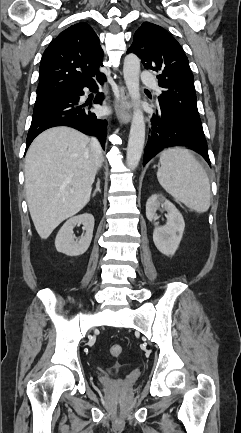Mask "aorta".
I'll return each mask as SVG.
<instances>
[{
  "label": "aorta",
  "mask_w": 241,
  "mask_h": 433,
  "mask_svg": "<svg viewBox=\"0 0 241 433\" xmlns=\"http://www.w3.org/2000/svg\"><path fill=\"white\" fill-rule=\"evenodd\" d=\"M140 59L134 54L125 57L123 76L129 95L134 102L140 101ZM145 142V120L143 111L136 108L133 112L131 128L128 139L126 162L127 166L134 170L137 168Z\"/></svg>",
  "instance_id": "762f6f07"
}]
</instances>
